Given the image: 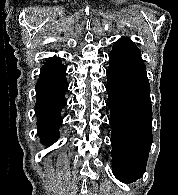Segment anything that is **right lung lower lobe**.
<instances>
[{"instance_id": "obj_1", "label": "right lung lower lobe", "mask_w": 178, "mask_h": 195, "mask_svg": "<svg viewBox=\"0 0 178 195\" xmlns=\"http://www.w3.org/2000/svg\"><path fill=\"white\" fill-rule=\"evenodd\" d=\"M67 88L66 68L61 61L46 63L41 68L36 84L35 113L38 134L43 144L50 145L59 137L61 110L67 104L64 96Z\"/></svg>"}]
</instances>
